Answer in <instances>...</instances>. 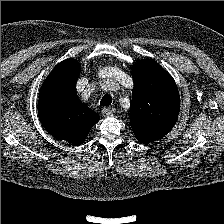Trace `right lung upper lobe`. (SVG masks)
<instances>
[{"label":"right lung upper lobe","mask_w":224,"mask_h":224,"mask_svg":"<svg viewBox=\"0 0 224 224\" xmlns=\"http://www.w3.org/2000/svg\"><path fill=\"white\" fill-rule=\"evenodd\" d=\"M80 64L67 59L44 80L38 101V116L45 130L57 140L77 146L83 143L99 116L77 96Z\"/></svg>","instance_id":"obj_1"}]
</instances>
